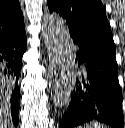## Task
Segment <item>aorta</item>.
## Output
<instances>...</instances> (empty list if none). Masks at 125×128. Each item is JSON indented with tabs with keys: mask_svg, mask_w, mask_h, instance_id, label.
I'll use <instances>...</instances> for the list:
<instances>
[{
	"mask_svg": "<svg viewBox=\"0 0 125 128\" xmlns=\"http://www.w3.org/2000/svg\"><path fill=\"white\" fill-rule=\"evenodd\" d=\"M42 34L49 57V88L53 105L66 106L75 86L76 65L71 38L65 20L48 14L42 22Z\"/></svg>",
	"mask_w": 125,
	"mask_h": 128,
	"instance_id": "obj_1",
	"label": "aorta"
}]
</instances>
